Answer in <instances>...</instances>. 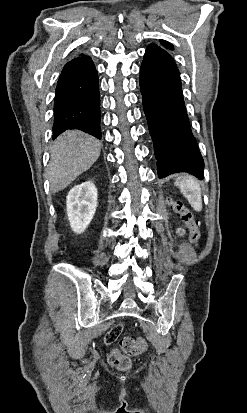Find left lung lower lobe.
I'll return each mask as SVG.
<instances>
[{
	"instance_id": "left-lung-lower-lobe-1",
	"label": "left lung lower lobe",
	"mask_w": 247,
	"mask_h": 413,
	"mask_svg": "<svg viewBox=\"0 0 247 413\" xmlns=\"http://www.w3.org/2000/svg\"><path fill=\"white\" fill-rule=\"evenodd\" d=\"M139 83L158 177L188 172L202 180L204 161L190 128L179 70L172 56L161 47L148 46Z\"/></svg>"
}]
</instances>
